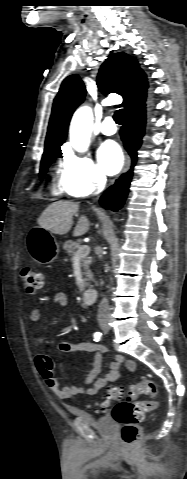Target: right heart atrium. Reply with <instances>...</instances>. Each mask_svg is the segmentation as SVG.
Here are the masks:
<instances>
[{
	"instance_id": "d8ad5b80",
	"label": "right heart atrium",
	"mask_w": 187,
	"mask_h": 479,
	"mask_svg": "<svg viewBox=\"0 0 187 479\" xmlns=\"http://www.w3.org/2000/svg\"><path fill=\"white\" fill-rule=\"evenodd\" d=\"M62 189L71 197H86L103 189L107 178L103 170L88 155L66 151L59 161Z\"/></svg>"
}]
</instances>
